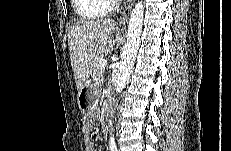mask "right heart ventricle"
<instances>
[{
    "mask_svg": "<svg viewBox=\"0 0 231 151\" xmlns=\"http://www.w3.org/2000/svg\"><path fill=\"white\" fill-rule=\"evenodd\" d=\"M80 23L94 22L106 16L108 4L103 0H75Z\"/></svg>",
    "mask_w": 231,
    "mask_h": 151,
    "instance_id": "1",
    "label": "right heart ventricle"
}]
</instances>
